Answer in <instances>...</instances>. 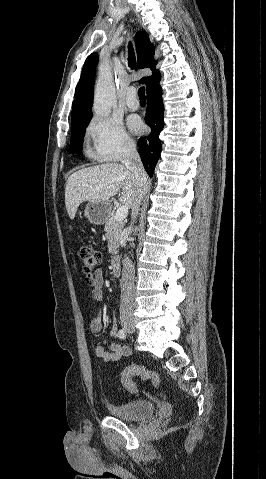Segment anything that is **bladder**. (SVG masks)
I'll return each instance as SVG.
<instances>
[{
    "mask_svg": "<svg viewBox=\"0 0 266 479\" xmlns=\"http://www.w3.org/2000/svg\"><path fill=\"white\" fill-rule=\"evenodd\" d=\"M111 416L124 421H137L152 416L155 412L154 404L148 400L129 401L119 404H109Z\"/></svg>",
    "mask_w": 266,
    "mask_h": 479,
    "instance_id": "1",
    "label": "bladder"
}]
</instances>
